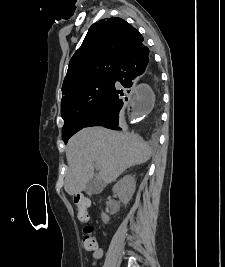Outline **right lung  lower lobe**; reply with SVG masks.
Returning <instances> with one entry per match:
<instances>
[{"label":"right lung lower lobe","mask_w":225,"mask_h":267,"mask_svg":"<svg viewBox=\"0 0 225 267\" xmlns=\"http://www.w3.org/2000/svg\"><path fill=\"white\" fill-rule=\"evenodd\" d=\"M141 77H147L154 86L158 87L159 75L149 49L143 42L122 55L113 74V85L105 101L87 121L85 127L104 126L112 130H120L118 126L120 110L126 107L131 88L137 85L136 81Z\"/></svg>","instance_id":"right-lung-lower-lobe-1"}]
</instances>
